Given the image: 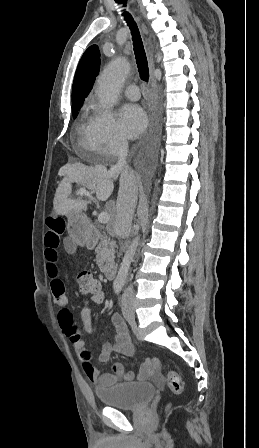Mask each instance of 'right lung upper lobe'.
<instances>
[{
	"label": "right lung upper lobe",
	"instance_id": "right-lung-upper-lobe-1",
	"mask_svg": "<svg viewBox=\"0 0 259 448\" xmlns=\"http://www.w3.org/2000/svg\"><path fill=\"white\" fill-rule=\"evenodd\" d=\"M100 68V53L96 45L90 46L78 64L72 86V110L81 108L93 87Z\"/></svg>",
	"mask_w": 259,
	"mask_h": 448
}]
</instances>
